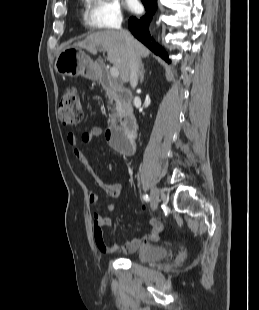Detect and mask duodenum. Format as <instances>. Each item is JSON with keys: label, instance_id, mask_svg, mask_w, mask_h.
Returning <instances> with one entry per match:
<instances>
[{"label": "duodenum", "instance_id": "duodenum-1", "mask_svg": "<svg viewBox=\"0 0 259 310\" xmlns=\"http://www.w3.org/2000/svg\"><path fill=\"white\" fill-rule=\"evenodd\" d=\"M96 77L102 87L112 95L120 105L119 125L106 130L111 145L121 154L130 155L134 151L133 139L136 135V120L131 107L132 94L107 76L101 65L97 66Z\"/></svg>", "mask_w": 259, "mask_h": 310}]
</instances>
